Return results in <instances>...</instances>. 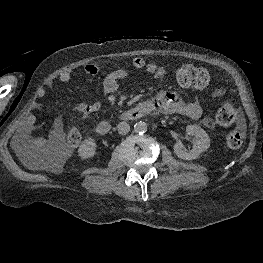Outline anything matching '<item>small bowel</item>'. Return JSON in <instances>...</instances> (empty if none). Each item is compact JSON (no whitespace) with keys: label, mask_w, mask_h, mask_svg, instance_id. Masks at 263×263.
Segmentation results:
<instances>
[{"label":"small bowel","mask_w":263,"mask_h":263,"mask_svg":"<svg viewBox=\"0 0 263 263\" xmlns=\"http://www.w3.org/2000/svg\"><path fill=\"white\" fill-rule=\"evenodd\" d=\"M132 66L135 70L147 73L152 76L154 80H160L167 75V69L154 62H147L141 57H136L132 61ZM83 71L88 75H97L100 71L96 64L88 63L84 65ZM130 71L127 69L119 68L108 73L102 82V91L104 94H110L117 90L119 81L127 78ZM58 80L62 83H67L71 80L70 72H62L58 75ZM37 96L43 98L45 90L43 88L37 91ZM150 104L152 111H160L165 114H180L193 119L202 118V107L198 101H185L179 94L174 92L163 91L160 92L155 98L147 101ZM101 108V102L95 101L91 104L78 102L75 104V109L88 115L97 112ZM202 123L207 127L213 126V121L210 117L205 116L202 118ZM35 126V117L30 115L27 117L25 126L22 130V138L31 142L35 147L40 149H49L60 145L64 139V129L60 122H56L53 130L48 137H30L31 131Z\"/></svg>","instance_id":"1"}]
</instances>
